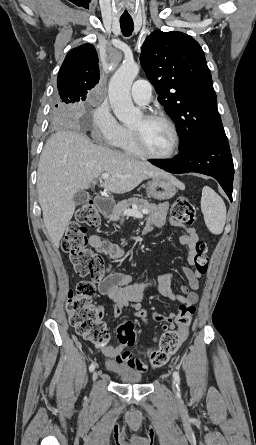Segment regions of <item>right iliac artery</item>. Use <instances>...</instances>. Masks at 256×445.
<instances>
[{
  "label": "right iliac artery",
  "instance_id": "82829eb1",
  "mask_svg": "<svg viewBox=\"0 0 256 445\" xmlns=\"http://www.w3.org/2000/svg\"><path fill=\"white\" fill-rule=\"evenodd\" d=\"M94 369H95V364L92 363V364L89 366V370H90V372H92Z\"/></svg>",
  "mask_w": 256,
  "mask_h": 445
}]
</instances>
